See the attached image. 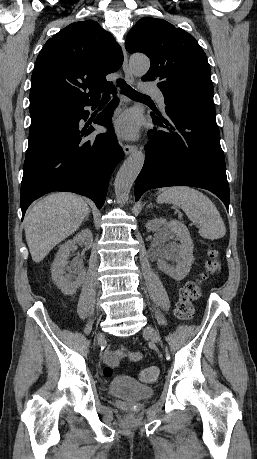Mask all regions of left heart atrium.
Here are the masks:
<instances>
[{
	"label": "left heart atrium",
	"instance_id": "left-heart-atrium-1",
	"mask_svg": "<svg viewBox=\"0 0 257 459\" xmlns=\"http://www.w3.org/2000/svg\"><path fill=\"white\" fill-rule=\"evenodd\" d=\"M140 117L134 112H127L117 119L114 130L124 139H134L140 131Z\"/></svg>",
	"mask_w": 257,
	"mask_h": 459
}]
</instances>
